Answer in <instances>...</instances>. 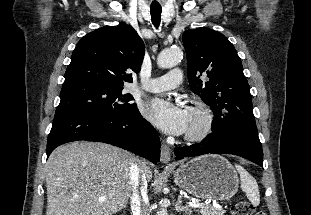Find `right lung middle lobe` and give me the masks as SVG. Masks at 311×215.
<instances>
[{
	"mask_svg": "<svg viewBox=\"0 0 311 215\" xmlns=\"http://www.w3.org/2000/svg\"><path fill=\"white\" fill-rule=\"evenodd\" d=\"M122 87L95 83L63 86L55 116L66 113H88L102 116H122L138 112L131 94H123Z\"/></svg>",
	"mask_w": 311,
	"mask_h": 215,
	"instance_id": "obj_1",
	"label": "right lung middle lobe"
}]
</instances>
